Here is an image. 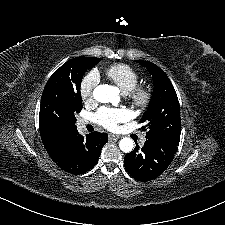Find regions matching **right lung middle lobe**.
<instances>
[{
    "instance_id": "right-lung-middle-lobe-1",
    "label": "right lung middle lobe",
    "mask_w": 225,
    "mask_h": 225,
    "mask_svg": "<svg viewBox=\"0 0 225 225\" xmlns=\"http://www.w3.org/2000/svg\"><path fill=\"white\" fill-rule=\"evenodd\" d=\"M99 62V58L84 57L82 64L71 74L49 78L41 98L40 129L52 133L77 129L75 114L82 110L81 80L86 70Z\"/></svg>"
}]
</instances>
